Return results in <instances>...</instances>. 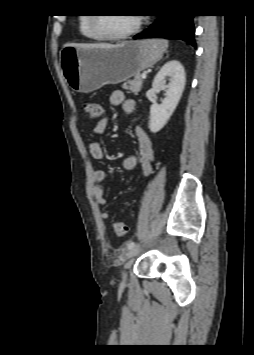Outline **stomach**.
<instances>
[{"label":"stomach","mask_w":254,"mask_h":355,"mask_svg":"<svg viewBox=\"0 0 254 355\" xmlns=\"http://www.w3.org/2000/svg\"><path fill=\"white\" fill-rule=\"evenodd\" d=\"M167 47L163 39L127 41L110 48L64 46L60 63L69 86L76 92L90 93L138 76L156 64Z\"/></svg>","instance_id":"stomach-1"}]
</instances>
